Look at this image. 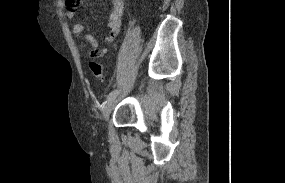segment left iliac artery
Here are the masks:
<instances>
[{"mask_svg":"<svg viewBox=\"0 0 285 183\" xmlns=\"http://www.w3.org/2000/svg\"><path fill=\"white\" fill-rule=\"evenodd\" d=\"M118 93H119V90L111 91L107 96V100H110L111 98L115 97Z\"/></svg>","mask_w":285,"mask_h":183,"instance_id":"obj_1","label":"left iliac artery"}]
</instances>
